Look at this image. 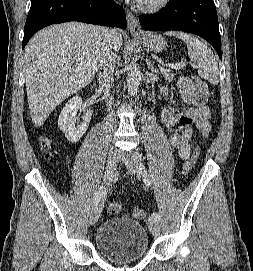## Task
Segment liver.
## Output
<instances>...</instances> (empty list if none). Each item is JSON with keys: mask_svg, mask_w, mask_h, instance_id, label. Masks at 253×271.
Masks as SVG:
<instances>
[{"mask_svg": "<svg viewBox=\"0 0 253 271\" xmlns=\"http://www.w3.org/2000/svg\"><path fill=\"white\" fill-rule=\"evenodd\" d=\"M113 32L112 46L118 51L122 35L117 29ZM102 42V27L79 22L47 27L28 42L24 77L35 127L43 126L60 103L93 80Z\"/></svg>", "mask_w": 253, "mask_h": 271, "instance_id": "6515ba94", "label": "liver"}]
</instances>
